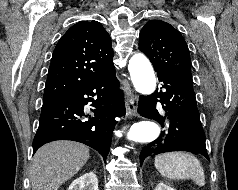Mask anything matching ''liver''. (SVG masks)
Here are the masks:
<instances>
[{
    "label": "liver",
    "mask_w": 238,
    "mask_h": 190,
    "mask_svg": "<svg viewBox=\"0 0 238 190\" xmlns=\"http://www.w3.org/2000/svg\"><path fill=\"white\" fill-rule=\"evenodd\" d=\"M89 148L75 141H53L39 148L32 161V190H58L88 161Z\"/></svg>",
    "instance_id": "liver-1"
}]
</instances>
